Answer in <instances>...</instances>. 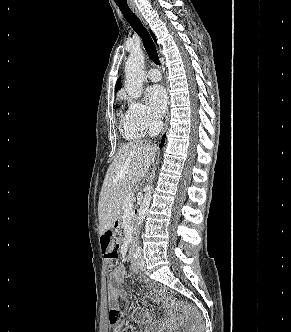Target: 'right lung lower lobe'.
Segmentation results:
<instances>
[{
	"instance_id": "98d812e1",
	"label": "right lung lower lobe",
	"mask_w": 291,
	"mask_h": 332,
	"mask_svg": "<svg viewBox=\"0 0 291 332\" xmlns=\"http://www.w3.org/2000/svg\"><path fill=\"white\" fill-rule=\"evenodd\" d=\"M164 141H165V137L163 136V137H162V140H161V145H160V146H163Z\"/></svg>"
}]
</instances>
